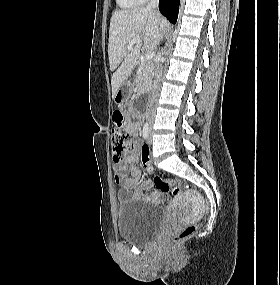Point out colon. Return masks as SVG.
Returning a JSON list of instances; mask_svg holds the SVG:
<instances>
[{
    "mask_svg": "<svg viewBox=\"0 0 280 285\" xmlns=\"http://www.w3.org/2000/svg\"><path fill=\"white\" fill-rule=\"evenodd\" d=\"M113 119L115 122V127L112 129V143H113V152L114 158L117 162H121L124 158V154L127 151H130L133 148V142L131 136L122 130L121 123L123 121V114L120 110H117L114 115ZM142 161L149 159V149L146 147L145 150L141 153ZM155 184L162 190L170 191L173 195H178L184 190L189 189V186L183 183L180 180L172 179V180H165L159 176H156ZM196 231L195 225L189 224L186 225L181 229L180 232L173 235L168 239V243L170 245H177L178 243L186 240L190 236H192Z\"/></svg>",
    "mask_w": 280,
    "mask_h": 285,
    "instance_id": "5ec220e1",
    "label": "colon"
}]
</instances>
